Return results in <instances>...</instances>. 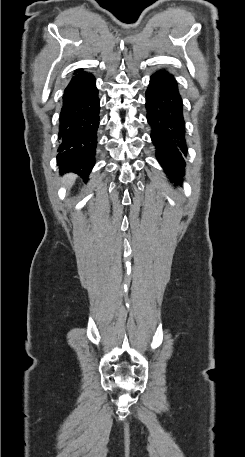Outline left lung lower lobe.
Instances as JSON below:
<instances>
[{
    "instance_id": "0a47b994",
    "label": "left lung lower lobe",
    "mask_w": 245,
    "mask_h": 457,
    "mask_svg": "<svg viewBox=\"0 0 245 457\" xmlns=\"http://www.w3.org/2000/svg\"><path fill=\"white\" fill-rule=\"evenodd\" d=\"M145 106L156 157L170 180L179 184L185 175L187 143L182 97L172 74L160 70L151 76Z\"/></svg>"
}]
</instances>
